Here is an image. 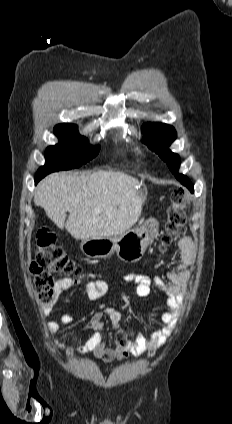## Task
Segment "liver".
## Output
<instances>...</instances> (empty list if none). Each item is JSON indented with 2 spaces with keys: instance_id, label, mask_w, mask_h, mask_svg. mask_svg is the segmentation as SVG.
<instances>
[{
  "instance_id": "obj_1",
  "label": "liver",
  "mask_w": 232,
  "mask_h": 424,
  "mask_svg": "<svg viewBox=\"0 0 232 424\" xmlns=\"http://www.w3.org/2000/svg\"><path fill=\"white\" fill-rule=\"evenodd\" d=\"M146 189L123 172H58L43 179L34 203L75 239L118 236L139 219ZM67 212L70 214L67 218Z\"/></svg>"
}]
</instances>
